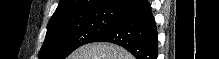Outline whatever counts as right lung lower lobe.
<instances>
[{
	"instance_id": "right-lung-lower-lobe-1",
	"label": "right lung lower lobe",
	"mask_w": 219,
	"mask_h": 59,
	"mask_svg": "<svg viewBox=\"0 0 219 59\" xmlns=\"http://www.w3.org/2000/svg\"><path fill=\"white\" fill-rule=\"evenodd\" d=\"M122 20L92 42H111L137 59H157V28L147 0H123L114 6Z\"/></svg>"
}]
</instances>
